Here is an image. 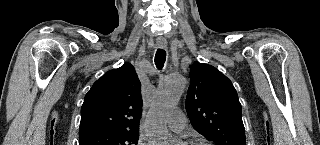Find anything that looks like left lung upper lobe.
I'll return each mask as SVG.
<instances>
[{"label":"left lung upper lobe","instance_id":"obj_1","mask_svg":"<svg viewBox=\"0 0 320 145\" xmlns=\"http://www.w3.org/2000/svg\"><path fill=\"white\" fill-rule=\"evenodd\" d=\"M186 111L192 126L216 145H246L241 104L231 81L208 64L190 67Z\"/></svg>","mask_w":320,"mask_h":145}]
</instances>
